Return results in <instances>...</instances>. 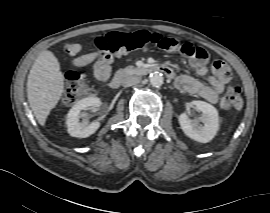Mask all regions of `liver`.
<instances>
[{"label": "liver", "instance_id": "1", "mask_svg": "<svg viewBox=\"0 0 270 213\" xmlns=\"http://www.w3.org/2000/svg\"><path fill=\"white\" fill-rule=\"evenodd\" d=\"M64 92V75L55 55L42 51L28 75L27 97L40 125H44L50 111L55 108Z\"/></svg>", "mask_w": 270, "mask_h": 213}]
</instances>
